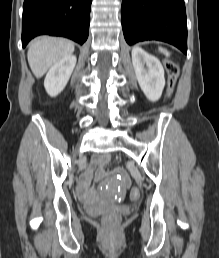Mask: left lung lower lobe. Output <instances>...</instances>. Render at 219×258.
<instances>
[{
    "instance_id": "obj_1",
    "label": "left lung lower lobe",
    "mask_w": 219,
    "mask_h": 258,
    "mask_svg": "<svg viewBox=\"0 0 219 258\" xmlns=\"http://www.w3.org/2000/svg\"><path fill=\"white\" fill-rule=\"evenodd\" d=\"M121 12L123 33L129 45L159 40L187 53L184 0H123Z\"/></svg>"
}]
</instances>
